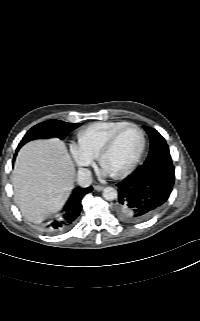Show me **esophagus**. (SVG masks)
<instances>
[{
  "mask_svg": "<svg viewBox=\"0 0 200 321\" xmlns=\"http://www.w3.org/2000/svg\"><path fill=\"white\" fill-rule=\"evenodd\" d=\"M94 189L96 191H102L104 189V186L103 185H94Z\"/></svg>",
  "mask_w": 200,
  "mask_h": 321,
  "instance_id": "obj_1",
  "label": "esophagus"
}]
</instances>
